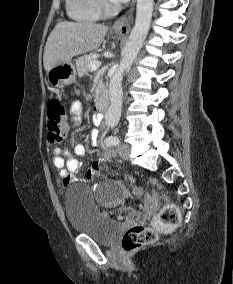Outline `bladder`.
I'll use <instances>...</instances> for the list:
<instances>
[{
    "label": "bladder",
    "mask_w": 233,
    "mask_h": 284,
    "mask_svg": "<svg viewBox=\"0 0 233 284\" xmlns=\"http://www.w3.org/2000/svg\"><path fill=\"white\" fill-rule=\"evenodd\" d=\"M124 195L125 191L118 183L104 185L97 196L87 186L72 185L65 195V214L71 230L102 244L111 243L120 224L102 211L98 202H117Z\"/></svg>",
    "instance_id": "31cf9c89"
}]
</instances>
